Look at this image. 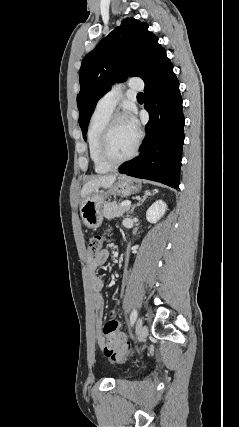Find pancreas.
Here are the masks:
<instances>
[{"label":"pancreas","mask_w":239,"mask_h":427,"mask_svg":"<svg viewBox=\"0 0 239 427\" xmlns=\"http://www.w3.org/2000/svg\"><path fill=\"white\" fill-rule=\"evenodd\" d=\"M129 207H122L121 204L116 201L108 202L104 205L103 208V216L108 220H111L115 217H123L125 213H127Z\"/></svg>","instance_id":"pancreas-1"}]
</instances>
